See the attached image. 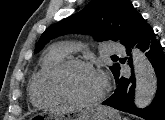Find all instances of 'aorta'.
I'll list each match as a JSON object with an SVG mask.
<instances>
[{
    "label": "aorta",
    "mask_w": 165,
    "mask_h": 120,
    "mask_svg": "<svg viewBox=\"0 0 165 120\" xmlns=\"http://www.w3.org/2000/svg\"><path fill=\"white\" fill-rule=\"evenodd\" d=\"M132 55L136 78L134 103L137 108H144L153 100L157 79L151 63L141 51L134 49Z\"/></svg>",
    "instance_id": "aorta-1"
}]
</instances>
